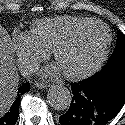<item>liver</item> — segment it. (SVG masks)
Returning <instances> with one entry per match:
<instances>
[{
	"instance_id": "liver-1",
	"label": "liver",
	"mask_w": 125,
	"mask_h": 125,
	"mask_svg": "<svg viewBox=\"0 0 125 125\" xmlns=\"http://www.w3.org/2000/svg\"><path fill=\"white\" fill-rule=\"evenodd\" d=\"M10 42L9 34L0 25V116L6 112L14 101L19 81Z\"/></svg>"
}]
</instances>
